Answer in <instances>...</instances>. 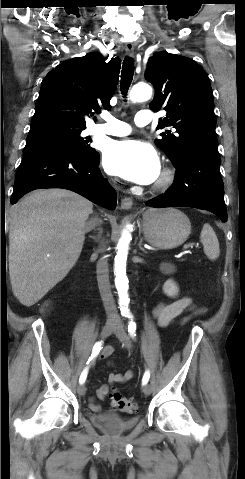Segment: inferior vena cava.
I'll return each instance as SVG.
<instances>
[{"mask_svg": "<svg viewBox=\"0 0 245 479\" xmlns=\"http://www.w3.org/2000/svg\"><path fill=\"white\" fill-rule=\"evenodd\" d=\"M99 223H100V220L98 218H93L87 223V226L92 228L93 226ZM104 247H105L104 244H101L99 252H103ZM96 273H97L98 287H99L100 295L103 301L106 314L108 318H117L118 314H117L116 305L111 293V287L109 282V269H108V263L106 259L99 260L96 267Z\"/></svg>", "mask_w": 245, "mask_h": 479, "instance_id": "602c4592", "label": "inferior vena cava"}]
</instances>
